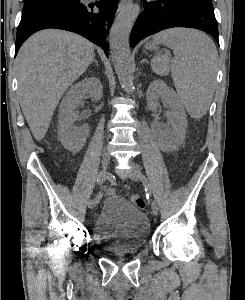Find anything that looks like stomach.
<instances>
[{
  "label": "stomach",
  "instance_id": "1",
  "mask_svg": "<svg viewBox=\"0 0 245 300\" xmlns=\"http://www.w3.org/2000/svg\"><path fill=\"white\" fill-rule=\"evenodd\" d=\"M146 48L150 50H156L157 49V42H149L146 44Z\"/></svg>",
  "mask_w": 245,
  "mask_h": 300
}]
</instances>
